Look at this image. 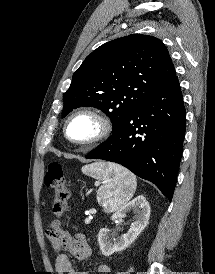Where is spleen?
Here are the masks:
<instances>
[{
	"mask_svg": "<svg viewBox=\"0 0 215 274\" xmlns=\"http://www.w3.org/2000/svg\"><path fill=\"white\" fill-rule=\"evenodd\" d=\"M82 172L102 181L97 200L105 211L120 209L132 198L136 190V177L119 165L97 162L83 166Z\"/></svg>",
	"mask_w": 215,
	"mask_h": 274,
	"instance_id": "1",
	"label": "spleen"
}]
</instances>
